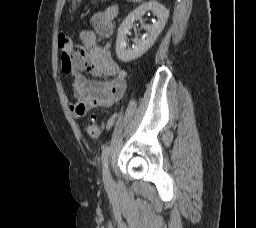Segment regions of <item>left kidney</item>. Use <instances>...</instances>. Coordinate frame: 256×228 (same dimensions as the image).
Wrapping results in <instances>:
<instances>
[{
	"instance_id": "obj_1",
	"label": "left kidney",
	"mask_w": 256,
	"mask_h": 228,
	"mask_svg": "<svg viewBox=\"0 0 256 228\" xmlns=\"http://www.w3.org/2000/svg\"><path fill=\"white\" fill-rule=\"evenodd\" d=\"M150 11L157 17V20L152 25H145L146 34L141 39H136L134 41L135 45L129 48L126 34L133 27L135 20L141 19L145 13ZM168 16L169 11L162 4L154 0L143 3L133 10L118 29L115 50L119 60L129 62L142 56L154 44L164 29Z\"/></svg>"
}]
</instances>
